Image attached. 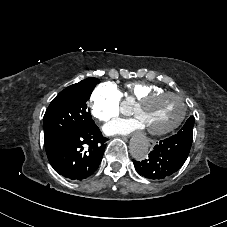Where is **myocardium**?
Returning a JSON list of instances; mask_svg holds the SVG:
<instances>
[{
	"instance_id": "myocardium-1",
	"label": "myocardium",
	"mask_w": 227,
	"mask_h": 227,
	"mask_svg": "<svg viewBox=\"0 0 227 227\" xmlns=\"http://www.w3.org/2000/svg\"><path fill=\"white\" fill-rule=\"evenodd\" d=\"M165 95L174 96L175 98H177L180 101V103L182 105V113H181L180 117L178 118V120L168 129L163 130V131H147V133L149 135L154 136V137H163V136H166L167 134L174 132L181 126V124L184 122V120L186 119V116H187L188 108H187V103H186L185 98L180 93L174 92V91L163 90V91L147 94V95L143 96L142 98L138 99L136 101V105L141 106V105L147 104V103L152 102L153 100H155L161 96H165Z\"/></svg>"
}]
</instances>
